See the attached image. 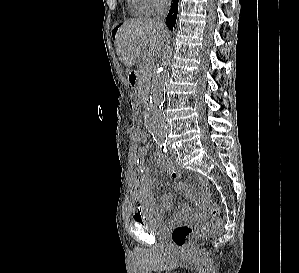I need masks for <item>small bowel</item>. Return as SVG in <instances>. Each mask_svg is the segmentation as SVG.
Segmentation results:
<instances>
[{
  "label": "small bowel",
  "mask_w": 299,
  "mask_h": 273,
  "mask_svg": "<svg viewBox=\"0 0 299 273\" xmlns=\"http://www.w3.org/2000/svg\"><path fill=\"white\" fill-rule=\"evenodd\" d=\"M149 149L141 147L137 156V165L141 167L144 155ZM156 165L163 169L169 176L179 179L181 173L175 164L165 156L158 154L156 156ZM177 190L192 201L199 203L198 197L184 183L177 185ZM160 204L155 201L152 191V180L147 174L139 176L135 180L134 205L136 207L133 219L138 222L147 216L163 218L165 213L171 209L173 198L169 193H163L160 197ZM193 216L192 210L188 205H181L175 212L173 219L180 221Z\"/></svg>",
  "instance_id": "small-bowel-1"
}]
</instances>
